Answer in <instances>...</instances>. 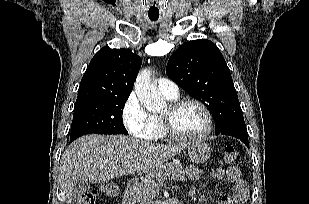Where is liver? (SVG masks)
Instances as JSON below:
<instances>
[{
    "label": "liver",
    "instance_id": "obj_1",
    "mask_svg": "<svg viewBox=\"0 0 309 204\" xmlns=\"http://www.w3.org/2000/svg\"><path fill=\"white\" fill-rule=\"evenodd\" d=\"M188 145L189 142L158 145L124 135H86L64 151L59 168L60 185L71 201L79 178L100 183L118 176L148 173Z\"/></svg>",
    "mask_w": 309,
    "mask_h": 204
}]
</instances>
